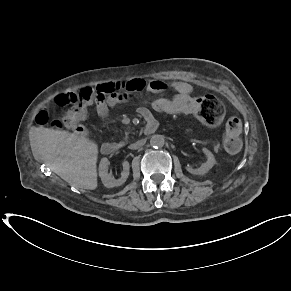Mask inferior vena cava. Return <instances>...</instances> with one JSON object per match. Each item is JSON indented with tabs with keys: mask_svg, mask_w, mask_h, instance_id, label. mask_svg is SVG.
Here are the masks:
<instances>
[{
	"mask_svg": "<svg viewBox=\"0 0 291 291\" xmlns=\"http://www.w3.org/2000/svg\"><path fill=\"white\" fill-rule=\"evenodd\" d=\"M145 144V140L142 139V140H139L133 144L130 145V148L131 149H139L140 147H142L143 145Z\"/></svg>",
	"mask_w": 291,
	"mask_h": 291,
	"instance_id": "602c4592",
	"label": "inferior vena cava"
}]
</instances>
